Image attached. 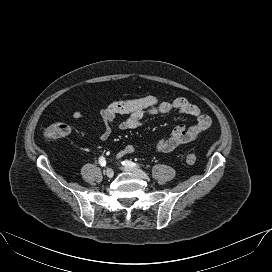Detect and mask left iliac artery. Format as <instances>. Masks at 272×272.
I'll return each instance as SVG.
<instances>
[{
  "instance_id": "left-iliac-artery-1",
  "label": "left iliac artery",
  "mask_w": 272,
  "mask_h": 272,
  "mask_svg": "<svg viewBox=\"0 0 272 272\" xmlns=\"http://www.w3.org/2000/svg\"><path fill=\"white\" fill-rule=\"evenodd\" d=\"M122 165L126 166V167H130V168H136L138 167L139 168V165L134 163V162H131L129 160H125L122 162Z\"/></svg>"
}]
</instances>
